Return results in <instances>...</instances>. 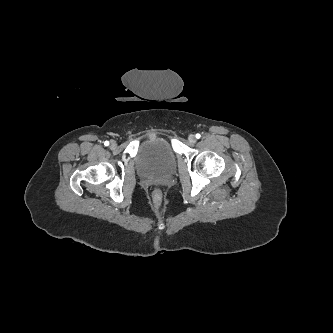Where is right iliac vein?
I'll return each mask as SVG.
<instances>
[{"mask_svg":"<svg viewBox=\"0 0 333 333\" xmlns=\"http://www.w3.org/2000/svg\"><path fill=\"white\" fill-rule=\"evenodd\" d=\"M116 146H117L116 142H115V141H111V143H110V147H111L112 149H114V148H116Z\"/></svg>","mask_w":333,"mask_h":333,"instance_id":"obj_1","label":"right iliac vein"}]
</instances>
